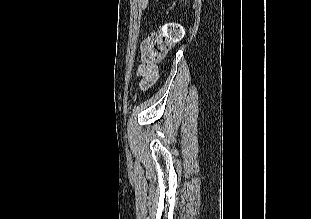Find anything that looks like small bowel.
Instances as JSON below:
<instances>
[{
  "label": "small bowel",
  "instance_id": "c3829d8e",
  "mask_svg": "<svg viewBox=\"0 0 311 219\" xmlns=\"http://www.w3.org/2000/svg\"><path fill=\"white\" fill-rule=\"evenodd\" d=\"M142 74H146V72L144 70H142ZM153 79H151L150 77L145 78V80L142 82V87L146 88L147 86H149L152 83Z\"/></svg>",
  "mask_w": 311,
  "mask_h": 219
}]
</instances>
